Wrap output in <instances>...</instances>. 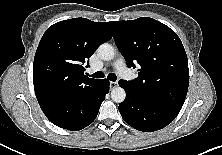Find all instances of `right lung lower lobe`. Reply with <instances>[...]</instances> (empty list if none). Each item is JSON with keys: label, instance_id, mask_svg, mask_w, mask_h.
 I'll list each match as a JSON object with an SVG mask.
<instances>
[{"label": "right lung lower lobe", "instance_id": "1", "mask_svg": "<svg viewBox=\"0 0 222 155\" xmlns=\"http://www.w3.org/2000/svg\"><path fill=\"white\" fill-rule=\"evenodd\" d=\"M108 91L109 81L102 79L72 95L54 97L51 93L44 92L36 94V97L44 114L52 123L76 131L95 120Z\"/></svg>", "mask_w": 222, "mask_h": 155}]
</instances>
